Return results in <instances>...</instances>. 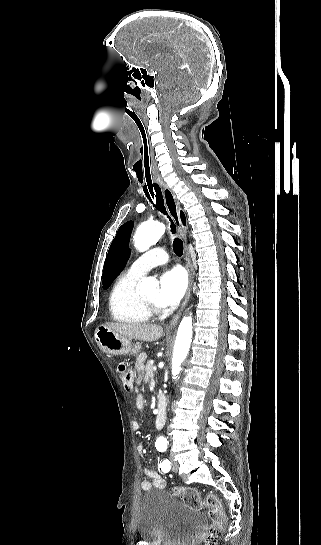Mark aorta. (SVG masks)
Masks as SVG:
<instances>
[{
  "label": "aorta",
  "mask_w": 321,
  "mask_h": 545,
  "mask_svg": "<svg viewBox=\"0 0 321 545\" xmlns=\"http://www.w3.org/2000/svg\"><path fill=\"white\" fill-rule=\"evenodd\" d=\"M165 232L164 224L160 222L142 223L136 230L134 236V246L140 252L148 250L156 244ZM157 285L153 277L145 278L140 286L142 291H147ZM192 341V318L184 317L178 327L177 337L174 345L172 358V375L177 377L181 370V364L186 358ZM160 443H167L166 438L160 437L157 440Z\"/></svg>",
  "instance_id": "1"
}]
</instances>
